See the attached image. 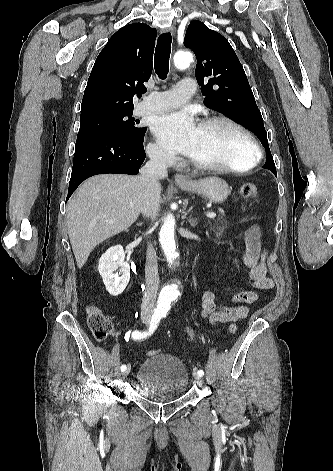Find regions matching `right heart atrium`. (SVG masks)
Here are the masks:
<instances>
[{
  "mask_svg": "<svg viewBox=\"0 0 333 471\" xmlns=\"http://www.w3.org/2000/svg\"><path fill=\"white\" fill-rule=\"evenodd\" d=\"M148 154L156 164L164 167L174 166L178 160L173 152L164 148L157 142L149 144Z\"/></svg>",
  "mask_w": 333,
  "mask_h": 471,
  "instance_id": "obj_1",
  "label": "right heart atrium"
}]
</instances>
